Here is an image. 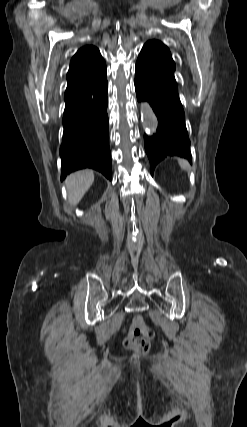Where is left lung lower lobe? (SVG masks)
I'll list each match as a JSON object with an SVG mask.
<instances>
[{
	"instance_id": "0a47b994",
	"label": "left lung lower lobe",
	"mask_w": 247,
	"mask_h": 427,
	"mask_svg": "<svg viewBox=\"0 0 247 427\" xmlns=\"http://www.w3.org/2000/svg\"><path fill=\"white\" fill-rule=\"evenodd\" d=\"M135 90L138 101L149 102L159 121L155 134L144 135L151 174L156 165L168 156H179L191 163L190 140L176 82L138 57Z\"/></svg>"
}]
</instances>
